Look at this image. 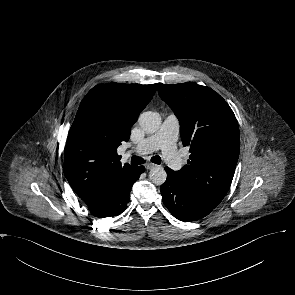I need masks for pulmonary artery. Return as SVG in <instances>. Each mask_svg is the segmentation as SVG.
I'll return each instance as SVG.
<instances>
[{"label":"pulmonary artery","mask_w":295,"mask_h":295,"mask_svg":"<svg viewBox=\"0 0 295 295\" xmlns=\"http://www.w3.org/2000/svg\"><path fill=\"white\" fill-rule=\"evenodd\" d=\"M180 124L174 114H169L161 124L160 128L151 136L137 144L133 151L144 155L161 150L163 158L170 168L180 170L183 164L177 153L176 142L179 137Z\"/></svg>","instance_id":"1"}]
</instances>
